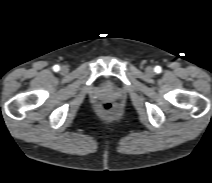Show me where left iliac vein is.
I'll return each instance as SVG.
<instances>
[{"label":"left iliac vein","instance_id":"left-iliac-vein-1","mask_svg":"<svg viewBox=\"0 0 212 183\" xmlns=\"http://www.w3.org/2000/svg\"><path fill=\"white\" fill-rule=\"evenodd\" d=\"M145 72H146V74L148 76H153L154 75V69L152 67H150V66L145 69Z\"/></svg>","mask_w":212,"mask_h":183}]
</instances>
